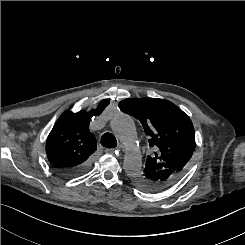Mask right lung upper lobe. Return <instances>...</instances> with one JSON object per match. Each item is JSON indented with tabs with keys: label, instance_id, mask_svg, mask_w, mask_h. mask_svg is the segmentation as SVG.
Here are the masks:
<instances>
[{
	"label": "right lung upper lobe",
	"instance_id": "1",
	"mask_svg": "<svg viewBox=\"0 0 245 245\" xmlns=\"http://www.w3.org/2000/svg\"><path fill=\"white\" fill-rule=\"evenodd\" d=\"M108 104L109 100H103L96 109L66 111L59 117L46 141L47 158L54 168L72 169L91 160L97 142L89 131V121L100 115Z\"/></svg>",
	"mask_w": 245,
	"mask_h": 245
}]
</instances>
